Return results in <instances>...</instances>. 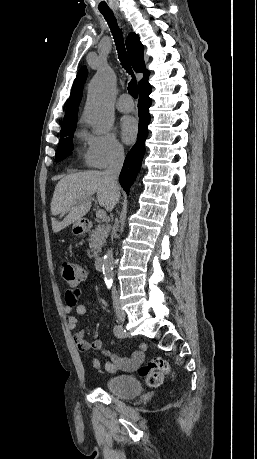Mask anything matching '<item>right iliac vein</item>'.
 Listing matches in <instances>:
<instances>
[{"label": "right iliac vein", "mask_w": 257, "mask_h": 459, "mask_svg": "<svg viewBox=\"0 0 257 459\" xmlns=\"http://www.w3.org/2000/svg\"><path fill=\"white\" fill-rule=\"evenodd\" d=\"M117 317H118V321L120 323H123L125 321V313L121 310H118L117 311Z\"/></svg>", "instance_id": "obj_1"}]
</instances>
